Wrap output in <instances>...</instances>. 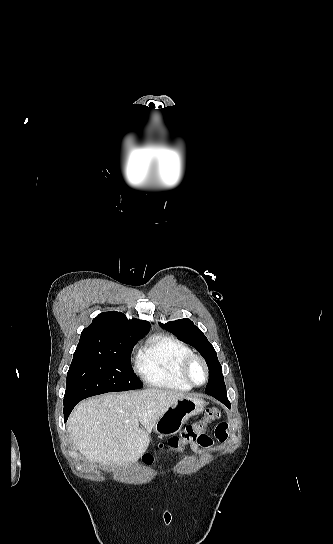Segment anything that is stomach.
<instances>
[{
    "mask_svg": "<svg viewBox=\"0 0 333 544\" xmlns=\"http://www.w3.org/2000/svg\"><path fill=\"white\" fill-rule=\"evenodd\" d=\"M205 401L186 396L173 404L156 422L153 430L159 437L171 436L180 431L184 423L204 410Z\"/></svg>",
    "mask_w": 333,
    "mask_h": 544,
    "instance_id": "1",
    "label": "stomach"
}]
</instances>
